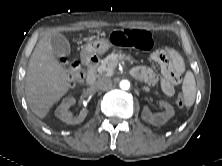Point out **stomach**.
Here are the masks:
<instances>
[{
	"instance_id": "stomach-1",
	"label": "stomach",
	"mask_w": 222,
	"mask_h": 166,
	"mask_svg": "<svg viewBox=\"0 0 222 166\" xmlns=\"http://www.w3.org/2000/svg\"><path fill=\"white\" fill-rule=\"evenodd\" d=\"M111 47V43L106 38H96L91 41H89L85 45V51L88 54H98L101 55L108 51Z\"/></svg>"
}]
</instances>
